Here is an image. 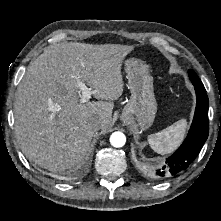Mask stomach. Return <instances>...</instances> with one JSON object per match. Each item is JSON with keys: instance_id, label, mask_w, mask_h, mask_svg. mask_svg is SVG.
Returning a JSON list of instances; mask_svg holds the SVG:
<instances>
[{"instance_id": "0dacf381", "label": "stomach", "mask_w": 221, "mask_h": 221, "mask_svg": "<svg viewBox=\"0 0 221 221\" xmlns=\"http://www.w3.org/2000/svg\"><path fill=\"white\" fill-rule=\"evenodd\" d=\"M125 70L131 97L123 109L121 119L136 120V129L142 131L153 124L157 112L153 77L148 65L140 59L126 60Z\"/></svg>"}]
</instances>
